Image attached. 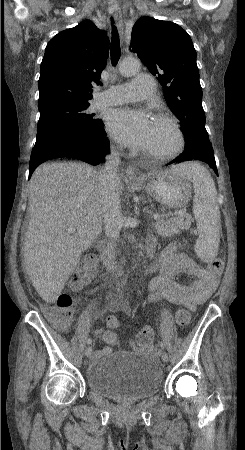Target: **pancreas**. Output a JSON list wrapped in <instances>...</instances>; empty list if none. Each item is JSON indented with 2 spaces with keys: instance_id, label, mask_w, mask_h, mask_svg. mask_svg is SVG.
<instances>
[{
  "instance_id": "cf45deb5",
  "label": "pancreas",
  "mask_w": 245,
  "mask_h": 450,
  "mask_svg": "<svg viewBox=\"0 0 245 450\" xmlns=\"http://www.w3.org/2000/svg\"><path fill=\"white\" fill-rule=\"evenodd\" d=\"M192 217L189 214H178L174 218L162 217L154 224L156 233L163 237H171L180 233V230L189 229Z\"/></svg>"
}]
</instances>
